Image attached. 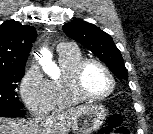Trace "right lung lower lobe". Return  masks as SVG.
<instances>
[{
    "mask_svg": "<svg viewBox=\"0 0 153 134\" xmlns=\"http://www.w3.org/2000/svg\"><path fill=\"white\" fill-rule=\"evenodd\" d=\"M24 114L21 110L18 109H8L1 108L0 109V117H22Z\"/></svg>",
    "mask_w": 153,
    "mask_h": 134,
    "instance_id": "right-lung-lower-lobe-1",
    "label": "right lung lower lobe"
}]
</instances>
